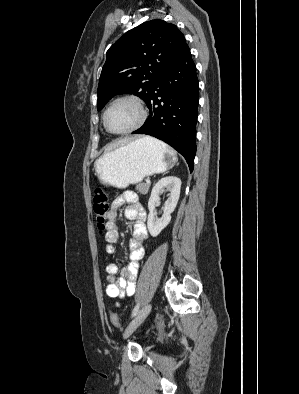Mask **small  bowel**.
I'll list each match as a JSON object with an SVG mask.
<instances>
[{"label":"small bowel","instance_id":"c3829d8e","mask_svg":"<svg viewBox=\"0 0 299 394\" xmlns=\"http://www.w3.org/2000/svg\"><path fill=\"white\" fill-rule=\"evenodd\" d=\"M125 204L128 206L124 210V215L134 222V227L132 238L129 241V263L121 270L115 263H109L106 266L109 282L106 293L113 298H124L134 294L138 265L144 256V244L148 236L145 209L138 202V196L135 192L125 191L111 203L108 221L105 225V251L110 255L115 253L114 244L119 239L118 212Z\"/></svg>","mask_w":299,"mask_h":394}]
</instances>
